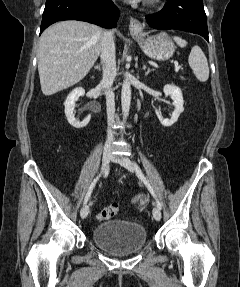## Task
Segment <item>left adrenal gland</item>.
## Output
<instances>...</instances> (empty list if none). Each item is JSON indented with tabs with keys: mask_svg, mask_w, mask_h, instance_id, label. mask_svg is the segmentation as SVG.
Returning a JSON list of instances; mask_svg holds the SVG:
<instances>
[{
	"mask_svg": "<svg viewBox=\"0 0 240 287\" xmlns=\"http://www.w3.org/2000/svg\"><path fill=\"white\" fill-rule=\"evenodd\" d=\"M143 70L145 71V75H148L152 71V69H150V68H148L146 70V65L145 64L143 65Z\"/></svg>",
	"mask_w": 240,
	"mask_h": 287,
	"instance_id": "1",
	"label": "left adrenal gland"
}]
</instances>
